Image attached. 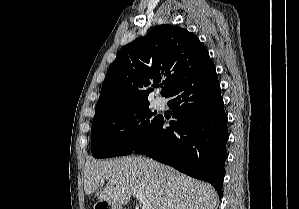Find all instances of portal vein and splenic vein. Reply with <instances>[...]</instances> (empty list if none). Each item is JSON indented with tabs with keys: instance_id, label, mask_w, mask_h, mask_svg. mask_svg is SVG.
Segmentation results:
<instances>
[{
	"instance_id": "18ae733b",
	"label": "portal vein and splenic vein",
	"mask_w": 299,
	"mask_h": 209,
	"mask_svg": "<svg viewBox=\"0 0 299 209\" xmlns=\"http://www.w3.org/2000/svg\"><path fill=\"white\" fill-rule=\"evenodd\" d=\"M112 182L116 183V181ZM134 195L142 203V209H152V205L150 202H148L147 198L143 194L134 191Z\"/></svg>"
}]
</instances>
